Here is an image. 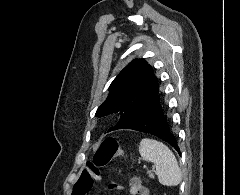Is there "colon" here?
<instances>
[{
    "label": "colon",
    "mask_w": 240,
    "mask_h": 195,
    "mask_svg": "<svg viewBox=\"0 0 240 195\" xmlns=\"http://www.w3.org/2000/svg\"><path fill=\"white\" fill-rule=\"evenodd\" d=\"M120 152V144L117 139L113 137L106 138L100 146L97 147L94 155L95 163L99 167L107 165L114 157ZM85 176L88 178V182L93 186L99 179V172L97 166H87ZM72 195H89L91 186H74Z\"/></svg>",
    "instance_id": "obj_1"
}]
</instances>
